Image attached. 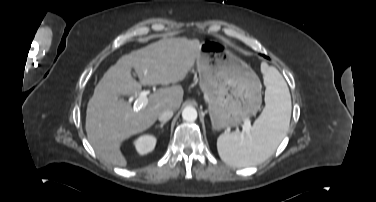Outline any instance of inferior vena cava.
Instances as JSON below:
<instances>
[{"label":"inferior vena cava","instance_id":"1","mask_svg":"<svg viewBox=\"0 0 376 202\" xmlns=\"http://www.w3.org/2000/svg\"><path fill=\"white\" fill-rule=\"evenodd\" d=\"M173 116V111L170 110V109H167L165 110L159 117V121L161 122H167L168 120H170Z\"/></svg>","mask_w":376,"mask_h":202}]
</instances>
